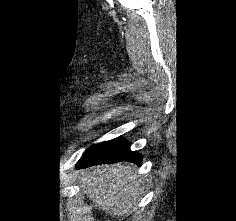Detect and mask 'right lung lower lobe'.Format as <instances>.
<instances>
[{
  "mask_svg": "<svg viewBox=\"0 0 236 221\" xmlns=\"http://www.w3.org/2000/svg\"><path fill=\"white\" fill-rule=\"evenodd\" d=\"M130 145L125 140L114 139L90 147L77 163V168H86L95 164L129 161L141 164V155L130 151Z\"/></svg>",
  "mask_w": 236,
  "mask_h": 221,
  "instance_id": "right-lung-lower-lobe-1",
  "label": "right lung lower lobe"
}]
</instances>
